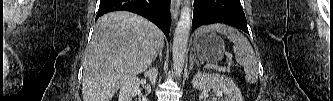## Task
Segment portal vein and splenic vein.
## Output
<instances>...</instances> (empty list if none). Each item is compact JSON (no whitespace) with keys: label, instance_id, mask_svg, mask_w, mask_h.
<instances>
[{"label":"portal vein and splenic vein","instance_id":"obj_1","mask_svg":"<svg viewBox=\"0 0 333 101\" xmlns=\"http://www.w3.org/2000/svg\"><path fill=\"white\" fill-rule=\"evenodd\" d=\"M228 58H229V66L232 64V57L230 56V55H228ZM206 68H212V67H214V68H218L217 66H213V65H206L205 66ZM221 70L222 71H229V67H227V68H221Z\"/></svg>","mask_w":333,"mask_h":101}]
</instances>
